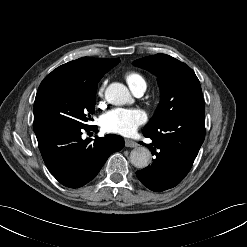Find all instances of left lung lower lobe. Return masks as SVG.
Returning a JSON list of instances; mask_svg holds the SVG:
<instances>
[{"mask_svg":"<svg viewBox=\"0 0 247 247\" xmlns=\"http://www.w3.org/2000/svg\"><path fill=\"white\" fill-rule=\"evenodd\" d=\"M152 139L144 144L153 163L136 172L138 179L150 190L161 192L179 184L190 171L205 138L204 116L175 117L154 130H143Z\"/></svg>","mask_w":247,"mask_h":247,"instance_id":"0a47b994","label":"left lung lower lobe"}]
</instances>
